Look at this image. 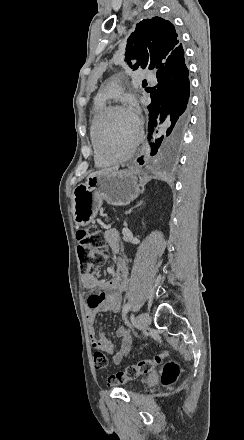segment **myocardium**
Masks as SVG:
<instances>
[{"label": "myocardium", "instance_id": "f54148a6", "mask_svg": "<svg viewBox=\"0 0 244 440\" xmlns=\"http://www.w3.org/2000/svg\"><path fill=\"white\" fill-rule=\"evenodd\" d=\"M116 110H124L125 111V108L123 106H121V105H112V106L107 107L104 110L102 122H100L99 125L97 126V129L101 130V132L98 133L99 137L97 136L95 138L99 142V143L97 142L95 144L96 145L95 150L98 151L100 154H106L108 152L106 150V148L104 147L105 144L103 142V140H104L103 137L106 135L105 133L108 130L106 128H104V127H105V124H110V116ZM127 144H130V141H128ZM121 146H123V145H121ZM121 146H116L115 148H119ZM116 153H117V150L116 149H112L110 151V153L107 155V157H110V158H113V159H117V158H115L116 157L115 156ZM126 159H127V156H122V157L118 158L119 161H125Z\"/></svg>", "mask_w": 244, "mask_h": 440}]
</instances>
